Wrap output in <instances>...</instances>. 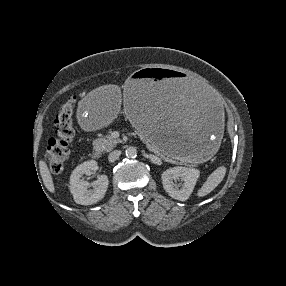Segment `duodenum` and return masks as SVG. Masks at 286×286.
Instances as JSON below:
<instances>
[{"mask_svg":"<svg viewBox=\"0 0 286 286\" xmlns=\"http://www.w3.org/2000/svg\"><path fill=\"white\" fill-rule=\"evenodd\" d=\"M92 157L96 160L101 158V152L98 149L92 151Z\"/></svg>","mask_w":286,"mask_h":286,"instance_id":"duodenum-1","label":"duodenum"}]
</instances>
